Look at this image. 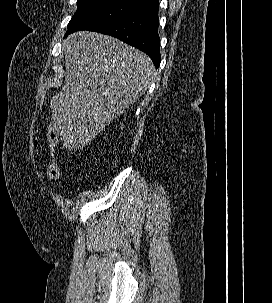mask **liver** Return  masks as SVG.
I'll return each instance as SVG.
<instances>
[{
    "label": "liver",
    "mask_w": 272,
    "mask_h": 303,
    "mask_svg": "<svg viewBox=\"0 0 272 303\" xmlns=\"http://www.w3.org/2000/svg\"><path fill=\"white\" fill-rule=\"evenodd\" d=\"M63 49L65 83L50 108L64 146L77 149L147 91L155 68L145 53L100 33H73Z\"/></svg>",
    "instance_id": "liver-1"
}]
</instances>
